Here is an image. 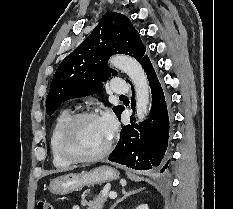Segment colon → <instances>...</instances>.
I'll list each match as a JSON object with an SVG mask.
<instances>
[{
    "instance_id": "5ec220e1",
    "label": "colon",
    "mask_w": 233,
    "mask_h": 209,
    "mask_svg": "<svg viewBox=\"0 0 233 209\" xmlns=\"http://www.w3.org/2000/svg\"><path fill=\"white\" fill-rule=\"evenodd\" d=\"M37 209H53L52 202L49 198H41L37 203Z\"/></svg>"
}]
</instances>
